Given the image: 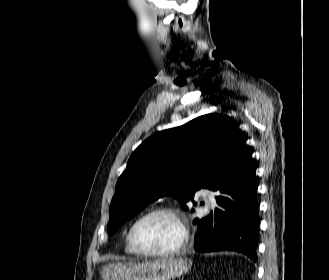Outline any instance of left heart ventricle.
<instances>
[{"label": "left heart ventricle", "instance_id": "1", "mask_svg": "<svg viewBox=\"0 0 329 280\" xmlns=\"http://www.w3.org/2000/svg\"><path fill=\"white\" fill-rule=\"evenodd\" d=\"M180 238L175 221L167 215H155L145 219L137 228L136 239L147 250L162 251L172 248Z\"/></svg>", "mask_w": 329, "mask_h": 280}]
</instances>
